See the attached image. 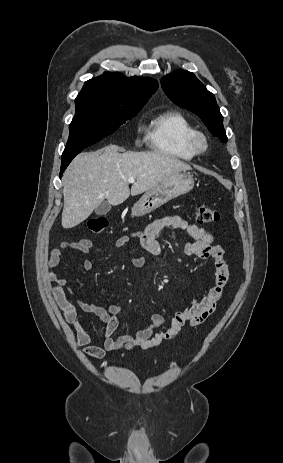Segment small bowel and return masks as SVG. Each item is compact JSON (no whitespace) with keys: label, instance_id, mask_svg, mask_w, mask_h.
Returning <instances> with one entry per match:
<instances>
[{"label":"small bowel","instance_id":"obj_1","mask_svg":"<svg viewBox=\"0 0 283 463\" xmlns=\"http://www.w3.org/2000/svg\"><path fill=\"white\" fill-rule=\"evenodd\" d=\"M166 228L182 230L193 238L192 242H187L183 247L186 255L214 261L215 284L202 299L193 301L187 309L176 313L170 325L161 331L159 329L164 324V318L160 314H154L150 321L134 334L115 335L119 326L121 307L118 304H110L107 307L90 304L76 295L66 278L57 275L56 269L61 262L62 251L72 249L82 253H89L93 246L91 240L63 241L50 250L48 261L50 267L48 274L50 293L56 305L63 311L65 321L73 325L77 344L83 348L85 356L102 360L110 351L153 348L163 341L175 338L185 326L201 324L214 312L228 283L229 267L224 257L223 248L214 243V238L208 231L189 223L178 215L165 216L154 220L143 230L135 231L130 235L119 236L115 240V246L121 248L130 240L138 239L145 251L153 256H160L162 248L158 242V237ZM130 260L137 267H145L148 264L146 259L138 256L131 257ZM82 268L85 271L92 270L93 262L85 259ZM83 315H94L106 325V334L102 346L90 345L91 337L81 323Z\"/></svg>","mask_w":283,"mask_h":463}]
</instances>
